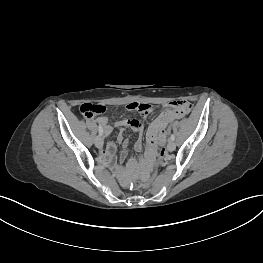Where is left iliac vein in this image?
I'll return each instance as SVG.
<instances>
[{
    "label": "left iliac vein",
    "instance_id": "4c4485c4",
    "mask_svg": "<svg viewBox=\"0 0 263 263\" xmlns=\"http://www.w3.org/2000/svg\"><path fill=\"white\" fill-rule=\"evenodd\" d=\"M175 147H176V145H175L174 141L170 140V141L168 142V144H167V149H168L169 151H174V150H175Z\"/></svg>",
    "mask_w": 263,
    "mask_h": 263
}]
</instances>
